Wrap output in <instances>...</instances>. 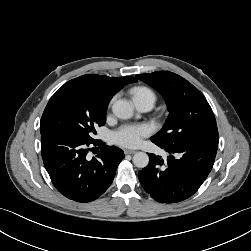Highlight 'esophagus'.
Returning <instances> with one entry per match:
<instances>
[{
  "mask_svg": "<svg viewBox=\"0 0 251 251\" xmlns=\"http://www.w3.org/2000/svg\"><path fill=\"white\" fill-rule=\"evenodd\" d=\"M124 153H125V154H135L136 151H135V150H130V149H125V150H124Z\"/></svg>",
  "mask_w": 251,
  "mask_h": 251,
  "instance_id": "1",
  "label": "esophagus"
}]
</instances>
